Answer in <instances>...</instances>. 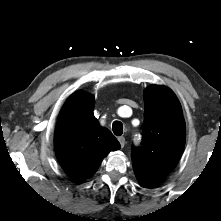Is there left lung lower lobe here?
<instances>
[{"instance_id": "obj_1", "label": "left lung lower lobe", "mask_w": 221, "mask_h": 221, "mask_svg": "<svg viewBox=\"0 0 221 221\" xmlns=\"http://www.w3.org/2000/svg\"><path fill=\"white\" fill-rule=\"evenodd\" d=\"M135 174H136V177L139 181V184L142 186V187H152L156 184V182L142 176L138 171H135Z\"/></svg>"}]
</instances>
